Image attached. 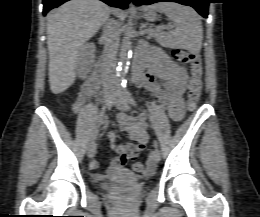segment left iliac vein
I'll return each instance as SVG.
<instances>
[{
	"label": "left iliac vein",
	"mask_w": 260,
	"mask_h": 217,
	"mask_svg": "<svg viewBox=\"0 0 260 217\" xmlns=\"http://www.w3.org/2000/svg\"><path fill=\"white\" fill-rule=\"evenodd\" d=\"M113 105L122 111L129 110L127 97L119 87L114 92ZM160 158H161L160 151L157 148H155L150 155V161L152 163H157L159 162Z\"/></svg>",
	"instance_id": "1"
}]
</instances>
